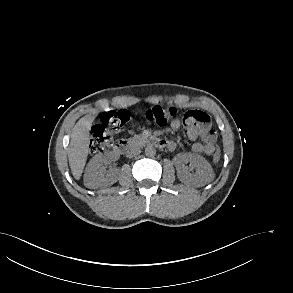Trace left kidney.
Instances as JSON below:
<instances>
[{
	"instance_id": "obj_1",
	"label": "left kidney",
	"mask_w": 293,
	"mask_h": 293,
	"mask_svg": "<svg viewBox=\"0 0 293 293\" xmlns=\"http://www.w3.org/2000/svg\"><path fill=\"white\" fill-rule=\"evenodd\" d=\"M183 163H190L195 168V173H190L182 165L177 169V176L181 182H192L203 186L213 179V169L210 163L202 156L194 153H181L178 155Z\"/></svg>"
}]
</instances>
